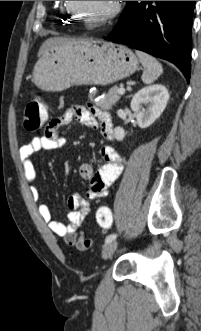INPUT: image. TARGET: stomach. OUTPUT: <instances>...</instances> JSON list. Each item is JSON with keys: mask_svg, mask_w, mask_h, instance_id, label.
<instances>
[{"mask_svg": "<svg viewBox=\"0 0 201 331\" xmlns=\"http://www.w3.org/2000/svg\"><path fill=\"white\" fill-rule=\"evenodd\" d=\"M139 62L126 46L102 39H74L46 50L33 70L44 91H63L73 85H109L132 75Z\"/></svg>", "mask_w": 201, "mask_h": 331, "instance_id": "stomach-1", "label": "stomach"}]
</instances>
